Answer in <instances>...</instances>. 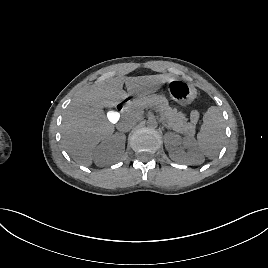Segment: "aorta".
<instances>
[{"label":"aorta","instance_id":"762f6f07","mask_svg":"<svg viewBox=\"0 0 268 268\" xmlns=\"http://www.w3.org/2000/svg\"><path fill=\"white\" fill-rule=\"evenodd\" d=\"M148 128L155 129L158 126V122L155 117H149L146 122Z\"/></svg>","mask_w":268,"mask_h":268}]
</instances>
